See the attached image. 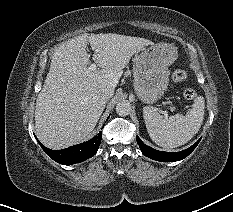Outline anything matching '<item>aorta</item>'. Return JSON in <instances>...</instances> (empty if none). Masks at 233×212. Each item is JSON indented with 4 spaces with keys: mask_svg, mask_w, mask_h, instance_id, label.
Returning <instances> with one entry per match:
<instances>
[{
    "mask_svg": "<svg viewBox=\"0 0 233 212\" xmlns=\"http://www.w3.org/2000/svg\"><path fill=\"white\" fill-rule=\"evenodd\" d=\"M131 111V104L128 101H121L116 105V112L120 116H127Z\"/></svg>",
    "mask_w": 233,
    "mask_h": 212,
    "instance_id": "aorta-1",
    "label": "aorta"
}]
</instances>
